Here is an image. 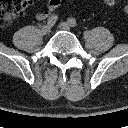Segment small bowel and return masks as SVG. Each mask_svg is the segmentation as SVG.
Returning <instances> with one entry per match:
<instances>
[{"mask_svg": "<svg viewBox=\"0 0 128 128\" xmlns=\"http://www.w3.org/2000/svg\"><path fill=\"white\" fill-rule=\"evenodd\" d=\"M62 0H49L47 4V8L42 10L36 14V18L38 20H45L48 18L52 12H54L61 4ZM28 4H32L33 0H27Z\"/></svg>", "mask_w": 128, "mask_h": 128, "instance_id": "small-bowel-1", "label": "small bowel"}]
</instances>
